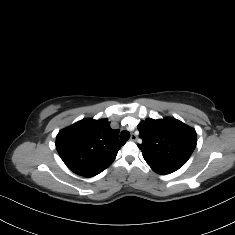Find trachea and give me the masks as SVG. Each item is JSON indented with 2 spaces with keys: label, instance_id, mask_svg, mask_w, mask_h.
<instances>
[{
  "label": "trachea",
  "instance_id": "trachea-1",
  "mask_svg": "<svg viewBox=\"0 0 235 235\" xmlns=\"http://www.w3.org/2000/svg\"><path fill=\"white\" fill-rule=\"evenodd\" d=\"M129 138H130V133L128 131L124 130L120 133V139L122 141H127Z\"/></svg>",
  "mask_w": 235,
  "mask_h": 235
}]
</instances>
